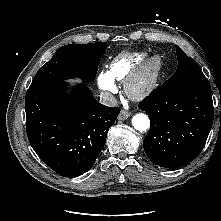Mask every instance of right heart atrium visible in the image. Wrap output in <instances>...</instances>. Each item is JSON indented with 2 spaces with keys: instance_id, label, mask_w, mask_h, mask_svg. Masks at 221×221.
<instances>
[{
  "instance_id": "d8ad5b80",
  "label": "right heart atrium",
  "mask_w": 221,
  "mask_h": 221,
  "mask_svg": "<svg viewBox=\"0 0 221 221\" xmlns=\"http://www.w3.org/2000/svg\"><path fill=\"white\" fill-rule=\"evenodd\" d=\"M97 83L99 88L105 93V94H112L116 92L117 86L115 83V80L111 73L107 70H102L99 72L97 76Z\"/></svg>"
}]
</instances>
